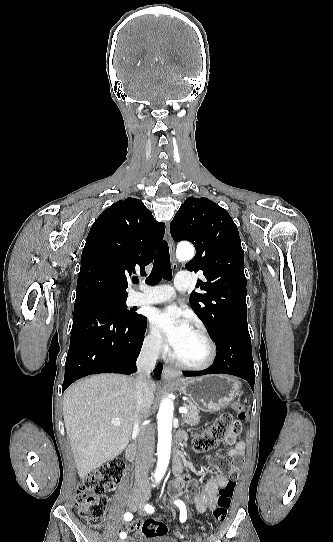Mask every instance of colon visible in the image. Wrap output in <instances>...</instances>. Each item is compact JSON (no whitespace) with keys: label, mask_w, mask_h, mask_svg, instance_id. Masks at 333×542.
I'll return each instance as SVG.
<instances>
[{"label":"colon","mask_w":333,"mask_h":542,"mask_svg":"<svg viewBox=\"0 0 333 542\" xmlns=\"http://www.w3.org/2000/svg\"><path fill=\"white\" fill-rule=\"evenodd\" d=\"M245 419L246 414L241 406H237L236 416L229 412L222 413L207 430L198 433L194 437L193 449L196 452H205L218 445L225 437L232 438L235 435L236 428L235 437L239 436L242 430V422ZM243 465L244 459L241 455H236L231 460L220 458V468L229 476L230 480L219 490L216 505L212 511V516L217 522H223L227 517ZM120 470V463L111 461L98 472L84 477L82 485L76 490V508L80 516L93 527H99L102 524L107 506L105 491L118 484ZM139 527L143 535L148 539L161 538L167 533L165 523L158 519H146Z\"/></svg>","instance_id":"1"}]
</instances>
